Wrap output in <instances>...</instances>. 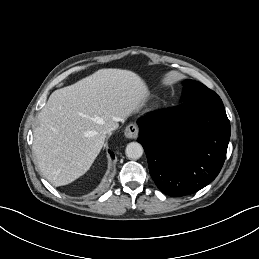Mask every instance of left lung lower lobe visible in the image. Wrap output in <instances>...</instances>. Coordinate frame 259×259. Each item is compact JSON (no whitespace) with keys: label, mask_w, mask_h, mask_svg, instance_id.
Returning <instances> with one entry per match:
<instances>
[{"label":"left lung lower lobe","mask_w":259,"mask_h":259,"mask_svg":"<svg viewBox=\"0 0 259 259\" xmlns=\"http://www.w3.org/2000/svg\"><path fill=\"white\" fill-rule=\"evenodd\" d=\"M137 124L151 177L165 194H193L219 174L231 130L216 93L142 117Z\"/></svg>","instance_id":"0a47b994"}]
</instances>
